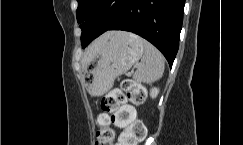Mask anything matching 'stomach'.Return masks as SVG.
Masks as SVG:
<instances>
[{
    "label": "stomach",
    "instance_id": "0dacf381",
    "mask_svg": "<svg viewBox=\"0 0 243 145\" xmlns=\"http://www.w3.org/2000/svg\"><path fill=\"white\" fill-rule=\"evenodd\" d=\"M142 54L141 38L127 32H111L84 68L90 94L100 96L108 92L116 77L127 72Z\"/></svg>",
    "mask_w": 243,
    "mask_h": 145
}]
</instances>
